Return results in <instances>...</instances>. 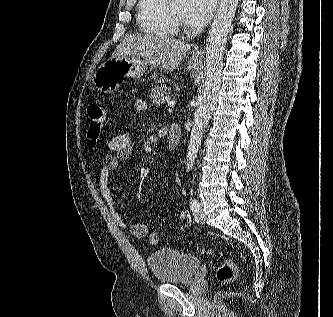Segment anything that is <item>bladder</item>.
I'll return each instance as SVG.
<instances>
[{
    "label": "bladder",
    "instance_id": "1",
    "mask_svg": "<svg viewBox=\"0 0 333 317\" xmlns=\"http://www.w3.org/2000/svg\"><path fill=\"white\" fill-rule=\"evenodd\" d=\"M148 268L154 279L162 284L191 283L201 269V260L172 248H161L147 257Z\"/></svg>",
    "mask_w": 333,
    "mask_h": 317
}]
</instances>
